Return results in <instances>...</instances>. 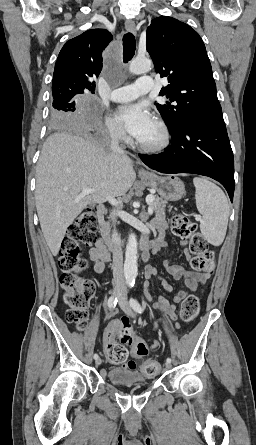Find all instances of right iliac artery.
<instances>
[{
  "label": "right iliac artery",
  "mask_w": 256,
  "mask_h": 445,
  "mask_svg": "<svg viewBox=\"0 0 256 445\" xmlns=\"http://www.w3.org/2000/svg\"><path fill=\"white\" fill-rule=\"evenodd\" d=\"M107 304H108V307H109L110 309H114L115 306H116V304H117V298L114 297V296H111V297L108 299ZM97 358H99L98 354H94V359L96 360Z\"/></svg>",
  "instance_id": "right-iliac-artery-1"
}]
</instances>
